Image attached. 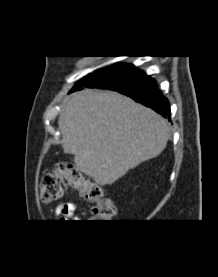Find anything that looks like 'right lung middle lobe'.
Listing matches in <instances>:
<instances>
[{"instance_id":"dd1d6c3e","label":"right lung middle lobe","mask_w":218,"mask_h":277,"mask_svg":"<svg viewBox=\"0 0 218 277\" xmlns=\"http://www.w3.org/2000/svg\"><path fill=\"white\" fill-rule=\"evenodd\" d=\"M93 74H96L99 77V80L102 83L101 88L110 90L124 88L132 85L145 76V73L136 69L134 65L119 63H116L109 68H102L101 70H97ZM78 84L74 86L72 91L75 90Z\"/></svg>"}]
</instances>
